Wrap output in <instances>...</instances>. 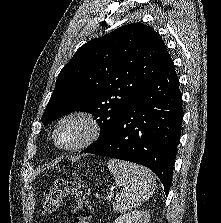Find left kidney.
I'll return each mask as SVG.
<instances>
[{
	"instance_id": "left-kidney-1",
	"label": "left kidney",
	"mask_w": 221,
	"mask_h": 223,
	"mask_svg": "<svg viewBox=\"0 0 221 223\" xmlns=\"http://www.w3.org/2000/svg\"><path fill=\"white\" fill-rule=\"evenodd\" d=\"M149 213L146 211H133L118 217L114 223H148Z\"/></svg>"
}]
</instances>
